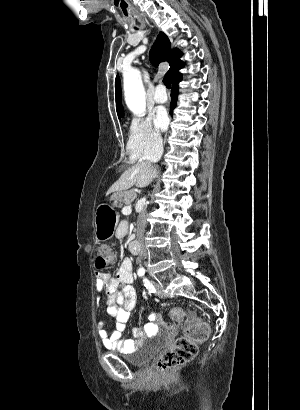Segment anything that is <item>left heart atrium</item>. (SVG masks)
I'll return each instance as SVG.
<instances>
[{"label": "left heart atrium", "instance_id": "left-heart-atrium-1", "mask_svg": "<svg viewBox=\"0 0 300 410\" xmlns=\"http://www.w3.org/2000/svg\"><path fill=\"white\" fill-rule=\"evenodd\" d=\"M168 122V115L165 109L160 108L157 110L155 116V125L158 129H164Z\"/></svg>", "mask_w": 300, "mask_h": 410}]
</instances>
